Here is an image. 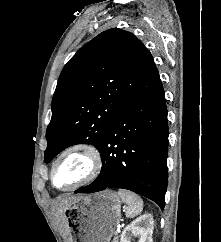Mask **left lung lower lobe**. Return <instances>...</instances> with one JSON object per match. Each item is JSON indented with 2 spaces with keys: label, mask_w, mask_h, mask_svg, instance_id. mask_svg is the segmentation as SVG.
Returning <instances> with one entry per match:
<instances>
[{
  "label": "left lung lower lobe",
  "mask_w": 221,
  "mask_h": 242,
  "mask_svg": "<svg viewBox=\"0 0 221 242\" xmlns=\"http://www.w3.org/2000/svg\"><path fill=\"white\" fill-rule=\"evenodd\" d=\"M168 135L165 93L158 74L113 120L99 150L103 161L99 176L75 193L123 188L163 209Z\"/></svg>",
  "instance_id": "left-lung-lower-lobe-1"
}]
</instances>
